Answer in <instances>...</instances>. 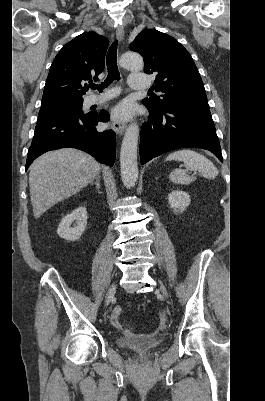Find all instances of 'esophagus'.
Here are the masks:
<instances>
[{"label":"esophagus","mask_w":265,"mask_h":401,"mask_svg":"<svg viewBox=\"0 0 265 401\" xmlns=\"http://www.w3.org/2000/svg\"><path fill=\"white\" fill-rule=\"evenodd\" d=\"M116 36L118 40L122 41L124 39V27L119 25L116 29ZM112 129L118 133V135H122L126 129V123L121 120H115L112 123Z\"/></svg>","instance_id":"1"}]
</instances>
